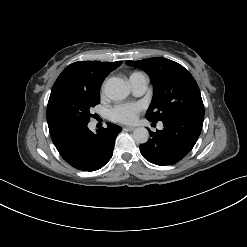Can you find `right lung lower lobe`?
<instances>
[{
    "instance_id": "98d812e1",
    "label": "right lung lower lobe",
    "mask_w": 247,
    "mask_h": 247,
    "mask_svg": "<svg viewBox=\"0 0 247 247\" xmlns=\"http://www.w3.org/2000/svg\"><path fill=\"white\" fill-rule=\"evenodd\" d=\"M121 130L120 126L108 123V127L98 129L97 134L83 126L66 130L51 138L68 164L91 172L100 169L111 159L116 136Z\"/></svg>"
}]
</instances>
